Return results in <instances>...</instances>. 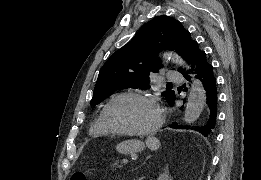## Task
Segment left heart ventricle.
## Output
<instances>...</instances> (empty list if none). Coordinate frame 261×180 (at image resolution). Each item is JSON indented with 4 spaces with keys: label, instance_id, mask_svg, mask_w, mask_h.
Masks as SVG:
<instances>
[{
    "label": "left heart ventricle",
    "instance_id": "1",
    "mask_svg": "<svg viewBox=\"0 0 261 180\" xmlns=\"http://www.w3.org/2000/svg\"><path fill=\"white\" fill-rule=\"evenodd\" d=\"M154 105L141 97L127 96L118 99L107 110L110 125L120 133L147 132L154 119Z\"/></svg>",
    "mask_w": 261,
    "mask_h": 180
}]
</instances>
